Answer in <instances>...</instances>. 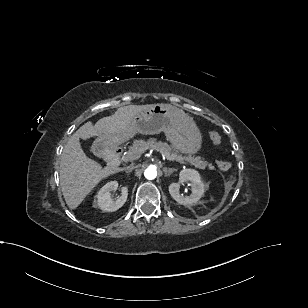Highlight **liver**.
Here are the masks:
<instances>
[{"instance_id":"obj_1","label":"liver","mask_w":308,"mask_h":308,"mask_svg":"<svg viewBox=\"0 0 308 308\" xmlns=\"http://www.w3.org/2000/svg\"><path fill=\"white\" fill-rule=\"evenodd\" d=\"M154 105L120 107L113 115L101 118L95 125L90 121L85 123L70 137L63 149L59 171L61 190L70 209L77 208L102 179L117 170L102 168L101 164L87 157L81 148L80 138L87 140L105 134H125L131 129L133 117Z\"/></svg>"}]
</instances>
